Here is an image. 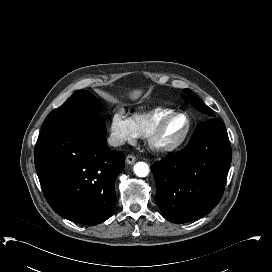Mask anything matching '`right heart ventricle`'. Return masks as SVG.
<instances>
[{"label":"right heart ventricle","mask_w":272,"mask_h":272,"mask_svg":"<svg viewBox=\"0 0 272 272\" xmlns=\"http://www.w3.org/2000/svg\"><path fill=\"white\" fill-rule=\"evenodd\" d=\"M173 113L172 109H157L149 114H135L133 121L142 135L154 128L164 117Z\"/></svg>","instance_id":"obj_1"}]
</instances>
